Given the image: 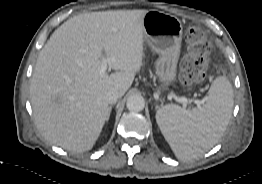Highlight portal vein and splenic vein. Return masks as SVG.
Here are the masks:
<instances>
[{"instance_id":"portal-vein-and-splenic-vein-1","label":"portal vein and splenic vein","mask_w":262,"mask_h":184,"mask_svg":"<svg viewBox=\"0 0 262 184\" xmlns=\"http://www.w3.org/2000/svg\"><path fill=\"white\" fill-rule=\"evenodd\" d=\"M106 70H107V63L104 62V63L102 64V67H101V73H105ZM175 99H176L178 102L182 103L184 107H186L187 104L189 103V100H188L186 97H175ZM194 102H195L197 105H200V104L202 103V102L199 101V100H195Z\"/></svg>"}]
</instances>
